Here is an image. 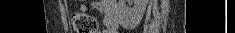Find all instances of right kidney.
<instances>
[{
	"mask_svg": "<svg viewBox=\"0 0 235 33\" xmlns=\"http://www.w3.org/2000/svg\"><path fill=\"white\" fill-rule=\"evenodd\" d=\"M148 0H134L133 8L127 9L124 12H120V22L124 24L129 19L134 21H140L146 10Z\"/></svg>",
	"mask_w": 235,
	"mask_h": 33,
	"instance_id": "obj_1",
	"label": "right kidney"
}]
</instances>
